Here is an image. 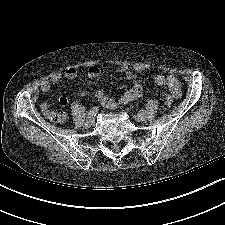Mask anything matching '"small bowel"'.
I'll use <instances>...</instances> for the list:
<instances>
[{
    "instance_id": "small-bowel-1",
    "label": "small bowel",
    "mask_w": 225,
    "mask_h": 225,
    "mask_svg": "<svg viewBox=\"0 0 225 225\" xmlns=\"http://www.w3.org/2000/svg\"><path fill=\"white\" fill-rule=\"evenodd\" d=\"M142 67H136L134 71H142ZM118 71L124 73L128 80H133L135 75L134 71L131 70L126 65H121ZM87 76L89 79H96L100 76V68L96 65H91L87 70ZM75 79L77 77V70L73 67L66 68L63 72L56 71L53 72L48 78L44 79L40 83V90L42 92H48L52 85L59 82L62 78ZM155 83L161 87H167L174 97L179 98L181 96V87L178 79L173 75H156L154 78ZM143 89L140 84H133L129 89L123 92L118 100H114L107 96L103 90H98L95 93L97 100L102 104L103 107L107 109H114L119 104L130 103L142 95ZM68 100L66 97L59 98V104L65 106ZM41 109L46 115H50L54 110H52L47 102L41 104ZM63 114L62 112H59ZM64 115V114H63Z\"/></svg>"
}]
</instances>
